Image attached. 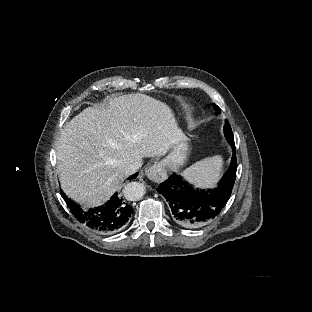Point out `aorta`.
<instances>
[{"label": "aorta", "mask_w": 312, "mask_h": 312, "mask_svg": "<svg viewBox=\"0 0 312 312\" xmlns=\"http://www.w3.org/2000/svg\"><path fill=\"white\" fill-rule=\"evenodd\" d=\"M124 193L128 201H137L144 195L145 188L141 183L131 182L125 186Z\"/></svg>", "instance_id": "762f6f07"}]
</instances>
